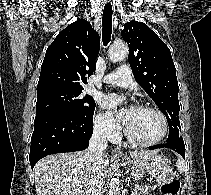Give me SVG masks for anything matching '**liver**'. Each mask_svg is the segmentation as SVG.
Segmentation results:
<instances>
[{
	"instance_id": "obj_1",
	"label": "liver",
	"mask_w": 211,
	"mask_h": 195,
	"mask_svg": "<svg viewBox=\"0 0 211 195\" xmlns=\"http://www.w3.org/2000/svg\"><path fill=\"white\" fill-rule=\"evenodd\" d=\"M86 152L58 153L40 159L34 166L37 195H86L91 164ZM157 154V151L130 152L134 163ZM110 157L103 153V174L107 175Z\"/></svg>"
}]
</instances>
